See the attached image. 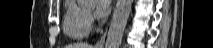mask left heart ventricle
<instances>
[{"mask_svg": "<svg viewBox=\"0 0 213 48\" xmlns=\"http://www.w3.org/2000/svg\"><path fill=\"white\" fill-rule=\"evenodd\" d=\"M85 10H86V11H90V10H91V6L85 7Z\"/></svg>", "mask_w": 213, "mask_h": 48, "instance_id": "left-heart-ventricle-1", "label": "left heart ventricle"}]
</instances>
